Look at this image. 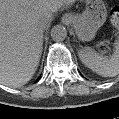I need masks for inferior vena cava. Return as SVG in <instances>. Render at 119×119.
<instances>
[{"label":"inferior vena cava","instance_id":"1","mask_svg":"<svg viewBox=\"0 0 119 119\" xmlns=\"http://www.w3.org/2000/svg\"><path fill=\"white\" fill-rule=\"evenodd\" d=\"M45 28H46V26L44 24L39 26V30L42 31V32L44 31Z\"/></svg>","mask_w":119,"mask_h":119}]
</instances>
